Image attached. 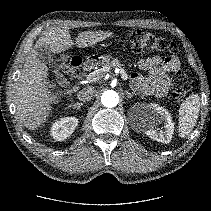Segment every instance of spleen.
<instances>
[{"label":"spleen","instance_id":"spleen-1","mask_svg":"<svg viewBox=\"0 0 211 211\" xmlns=\"http://www.w3.org/2000/svg\"><path fill=\"white\" fill-rule=\"evenodd\" d=\"M200 110V97L192 94L186 98L179 109V136L185 137L194 128Z\"/></svg>","mask_w":211,"mask_h":211}]
</instances>
